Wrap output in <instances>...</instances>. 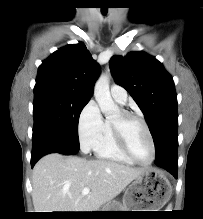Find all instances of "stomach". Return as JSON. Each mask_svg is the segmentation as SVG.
<instances>
[{
  "label": "stomach",
  "instance_id": "0dacf381",
  "mask_svg": "<svg viewBox=\"0 0 203 219\" xmlns=\"http://www.w3.org/2000/svg\"><path fill=\"white\" fill-rule=\"evenodd\" d=\"M170 196L171 185L164 173L157 169L148 168L132 181L124 194L123 204L110 203V206L104 211H118L116 209L158 211L166 204Z\"/></svg>",
  "mask_w": 203,
  "mask_h": 219
}]
</instances>
